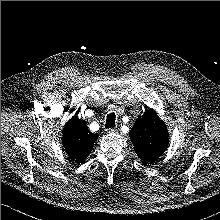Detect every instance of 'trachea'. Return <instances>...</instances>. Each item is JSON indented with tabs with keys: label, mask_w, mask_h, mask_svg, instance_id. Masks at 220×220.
I'll return each mask as SVG.
<instances>
[{
	"label": "trachea",
	"mask_w": 220,
	"mask_h": 220,
	"mask_svg": "<svg viewBox=\"0 0 220 220\" xmlns=\"http://www.w3.org/2000/svg\"><path fill=\"white\" fill-rule=\"evenodd\" d=\"M115 119L116 116L114 113H109L106 118L105 128H113L115 127Z\"/></svg>",
	"instance_id": "obj_1"
}]
</instances>
